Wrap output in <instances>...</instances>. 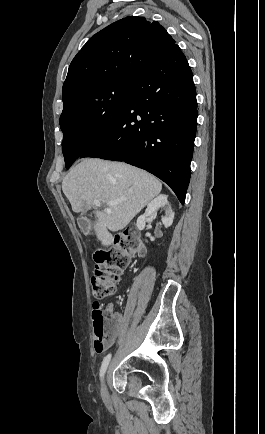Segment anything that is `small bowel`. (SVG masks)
Returning a JSON list of instances; mask_svg holds the SVG:
<instances>
[{
  "mask_svg": "<svg viewBox=\"0 0 265 434\" xmlns=\"http://www.w3.org/2000/svg\"><path fill=\"white\" fill-rule=\"evenodd\" d=\"M105 311L107 314H109V320H108L109 331H108V336L105 345V347L107 348L112 346L115 343L121 331L127 326L128 319L123 313L114 311V307L112 304L107 305ZM94 353L95 355L100 356L102 355L103 352H94Z\"/></svg>",
  "mask_w": 265,
  "mask_h": 434,
  "instance_id": "1",
  "label": "small bowel"
}]
</instances>
